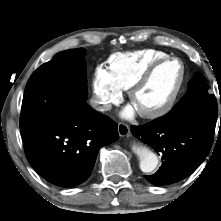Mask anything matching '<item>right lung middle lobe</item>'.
<instances>
[{
	"mask_svg": "<svg viewBox=\"0 0 221 221\" xmlns=\"http://www.w3.org/2000/svg\"><path fill=\"white\" fill-rule=\"evenodd\" d=\"M84 54L83 48L59 52L31 75L22 101V133L64 118L87 99Z\"/></svg>",
	"mask_w": 221,
	"mask_h": 221,
	"instance_id": "dd1d6c3e",
	"label": "right lung middle lobe"
}]
</instances>
